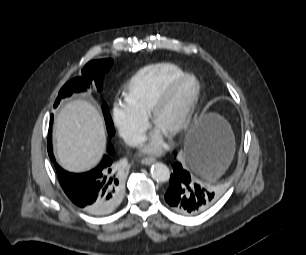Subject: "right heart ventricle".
<instances>
[{
    "mask_svg": "<svg viewBox=\"0 0 306 255\" xmlns=\"http://www.w3.org/2000/svg\"><path fill=\"white\" fill-rule=\"evenodd\" d=\"M185 74L183 69L172 63L145 66L128 81L124 90L125 100L146 116L160 94Z\"/></svg>",
    "mask_w": 306,
    "mask_h": 255,
    "instance_id": "1",
    "label": "right heart ventricle"
}]
</instances>
